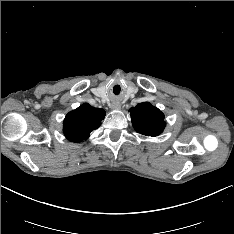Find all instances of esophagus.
<instances>
[{
	"mask_svg": "<svg viewBox=\"0 0 234 234\" xmlns=\"http://www.w3.org/2000/svg\"><path fill=\"white\" fill-rule=\"evenodd\" d=\"M111 108H112V109H118V108H120V105H118V104H113V105L111 106Z\"/></svg>",
	"mask_w": 234,
	"mask_h": 234,
	"instance_id": "34e87169",
	"label": "esophagus"
}]
</instances>
